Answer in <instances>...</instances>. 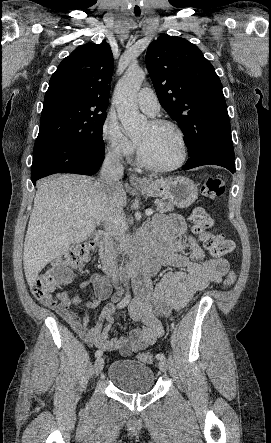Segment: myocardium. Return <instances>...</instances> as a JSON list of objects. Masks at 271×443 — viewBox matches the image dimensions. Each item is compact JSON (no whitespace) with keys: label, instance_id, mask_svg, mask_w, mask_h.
Listing matches in <instances>:
<instances>
[{"label":"myocardium","instance_id":"1","mask_svg":"<svg viewBox=\"0 0 271 443\" xmlns=\"http://www.w3.org/2000/svg\"><path fill=\"white\" fill-rule=\"evenodd\" d=\"M148 123L153 127L168 126L172 129H174L180 138L181 146H182V153H181L180 159L178 161H176L175 163H173L171 165H167V166H160V165H156V164L150 162L145 157V155L143 154L140 147L137 146V154H138L139 163L144 168L154 171V172H168V171H172V170L178 169L181 166H183L186 163L188 156H189L188 140H187L186 134L183 131V129L175 122L167 120V119H152Z\"/></svg>","mask_w":271,"mask_h":443}]
</instances>
